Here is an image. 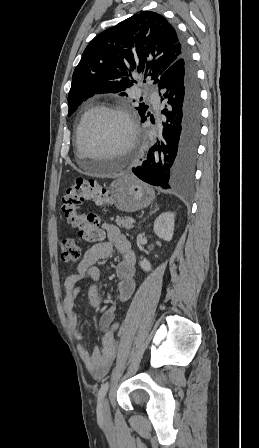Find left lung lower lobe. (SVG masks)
<instances>
[{"mask_svg":"<svg viewBox=\"0 0 259 448\" xmlns=\"http://www.w3.org/2000/svg\"><path fill=\"white\" fill-rule=\"evenodd\" d=\"M182 56L159 77L161 101L160 141L152 146L147 159L133 173L144 182L162 189L182 191L191 186L200 135V90L196 69L183 38ZM148 113L142 117L145 121Z\"/></svg>","mask_w":259,"mask_h":448,"instance_id":"0a47b994","label":"left lung lower lobe"}]
</instances>
